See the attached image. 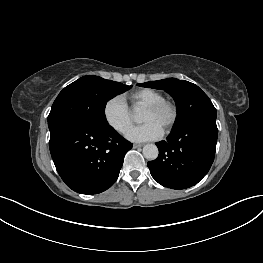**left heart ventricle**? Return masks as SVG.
<instances>
[{
  "label": "left heart ventricle",
  "instance_id": "1",
  "mask_svg": "<svg viewBox=\"0 0 263 263\" xmlns=\"http://www.w3.org/2000/svg\"><path fill=\"white\" fill-rule=\"evenodd\" d=\"M166 118V112H154L146 108L142 120L143 122L154 121L163 128Z\"/></svg>",
  "mask_w": 263,
  "mask_h": 263
}]
</instances>
